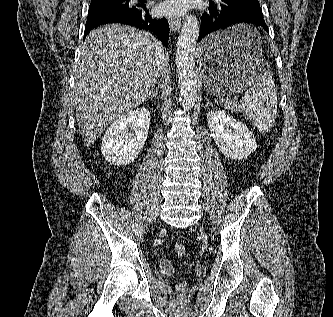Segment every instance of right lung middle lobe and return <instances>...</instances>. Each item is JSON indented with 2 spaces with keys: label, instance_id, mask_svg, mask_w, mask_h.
<instances>
[{
  "label": "right lung middle lobe",
  "instance_id": "dd1d6c3e",
  "mask_svg": "<svg viewBox=\"0 0 333 317\" xmlns=\"http://www.w3.org/2000/svg\"><path fill=\"white\" fill-rule=\"evenodd\" d=\"M130 0H91L89 11L108 9V8H131L136 5L129 4Z\"/></svg>",
  "mask_w": 333,
  "mask_h": 317
}]
</instances>
